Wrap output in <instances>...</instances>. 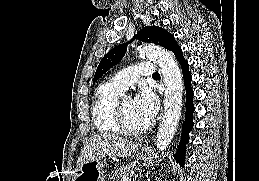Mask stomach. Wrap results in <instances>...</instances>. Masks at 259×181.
Instances as JSON below:
<instances>
[{"label": "stomach", "mask_w": 259, "mask_h": 181, "mask_svg": "<svg viewBox=\"0 0 259 181\" xmlns=\"http://www.w3.org/2000/svg\"><path fill=\"white\" fill-rule=\"evenodd\" d=\"M138 157L146 162L151 158V152L148 149L138 152ZM106 171L100 158H89L83 162L77 169L73 181H104Z\"/></svg>", "instance_id": "obj_1"}]
</instances>
